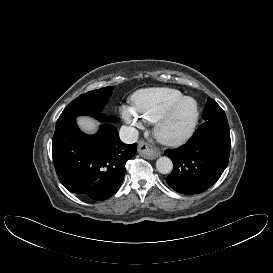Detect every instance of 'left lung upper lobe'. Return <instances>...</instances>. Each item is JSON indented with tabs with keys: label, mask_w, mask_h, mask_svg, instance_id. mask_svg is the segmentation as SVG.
<instances>
[{
	"label": "left lung upper lobe",
	"mask_w": 273,
	"mask_h": 273,
	"mask_svg": "<svg viewBox=\"0 0 273 273\" xmlns=\"http://www.w3.org/2000/svg\"><path fill=\"white\" fill-rule=\"evenodd\" d=\"M202 117L205 122L227 121L223 109L211 98L206 102Z\"/></svg>",
	"instance_id": "5c2ea615"
}]
</instances>
